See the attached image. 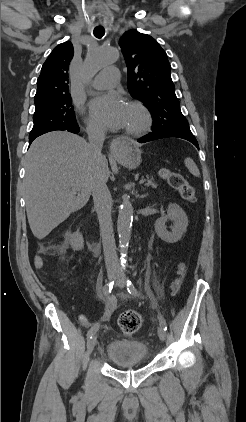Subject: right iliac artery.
I'll list each match as a JSON object with an SVG mask.
<instances>
[{
    "mask_svg": "<svg viewBox=\"0 0 246 422\" xmlns=\"http://www.w3.org/2000/svg\"><path fill=\"white\" fill-rule=\"evenodd\" d=\"M113 285H114V281H112V282L107 283V284L104 285L102 292H103V294L105 296H107V295H109L111 293V290L113 288ZM98 327H99V324H95L93 327H91V329L87 333V339L92 338V336L97 331Z\"/></svg>",
    "mask_w": 246,
    "mask_h": 422,
    "instance_id": "82829eb1",
    "label": "right iliac artery"
}]
</instances>
